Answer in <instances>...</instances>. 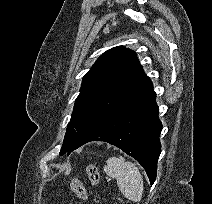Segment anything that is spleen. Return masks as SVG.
<instances>
[{"label":"spleen","instance_id":"obj_1","mask_svg":"<svg viewBox=\"0 0 212 204\" xmlns=\"http://www.w3.org/2000/svg\"><path fill=\"white\" fill-rule=\"evenodd\" d=\"M104 172L117 181L121 193L130 201L139 202L143 194V178L139 169L123 157H110Z\"/></svg>","mask_w":212,"mask_h":204}]
</instances>
